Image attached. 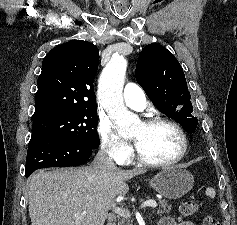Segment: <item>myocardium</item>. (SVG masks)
I'll list each match as a JSON object with an SVG mask.
<instances>
[{"instance_id":"obj_1","label":"myocardium","mask_w":237,"mask_h":225,"mask_svg":"<svg viewBox=\"0 0 237 225\" xmlns=\"http://www.w3.org/2000/svg\"><path fill=\"white\" fill-rule=\"evenodd\" d=\"M142 124L145 127H152L155 125H167L171 128H173L177 134L180 137L181 140V150L179 154L167 161H152V160H147L142 156V154L138 151L137 147L134 150V158L137 160L138 163L141 165L147 166V167H169L172 165L177 164L180 162L184 156L186 155L188 151V138L182 127L175 121L168 119V118H163V117H153L150 119H147L142 122Z\"/></svg>"}]
</instances>
